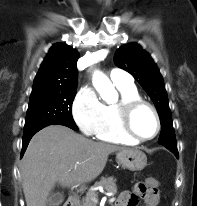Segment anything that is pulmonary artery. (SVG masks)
<instances>
[{"instance_id":"e3ab8cb5","label":"pulmonary artery","mask_w":197,"mask_h":206,"mask_svg":"<svg viewBox=\"0 0 197 206\" xmlns=\"http://www.w3.org/2000/svg\"><path fill=\"white\" fill-rule=\"evenodd\" d=\"M110 79L115 84L133 85L132 77L125 71L114 68L110 72Z\"/></svg>"}]
</instances>
